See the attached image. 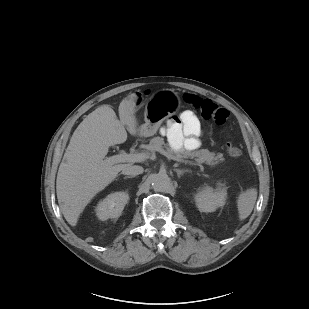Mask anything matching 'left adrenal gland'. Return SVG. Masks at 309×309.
<instances>
[{"label": "left adrenal gland", "instance_id": "a2214340", "mask_svg": "<svg viewBox=\"0 0 309 309\" xmlns=\"http://www.w3.org/2000/svg\"><path fill=\"white\" fill-rule=\"evenodd\" d=\"M174 171L177 173L178 177H181V175H183L186 172H190L189 170H180V169H174Z\"/></svg>", "mask_w": 309, "mask_h": 309}]
</instances>
